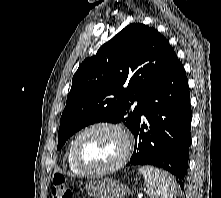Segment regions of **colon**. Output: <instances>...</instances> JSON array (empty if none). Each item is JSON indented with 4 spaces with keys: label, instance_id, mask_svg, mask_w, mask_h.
<instances>
[{
    "label": "colon",
    "instance_id": "colon-1",
    "mask_svg": "<svg viewBox=\"0 0 221 198\" xmlns=\"http://www.w3.org/2000/svg\"><path fill=\"white\" fill-rule=\"evenodd\" d=\"M53 198H74L71 188L62 176H56L53 180Z\"/></svg>",
    "mask_w": 221,
    "mask_h": 198
}]
</instances>
